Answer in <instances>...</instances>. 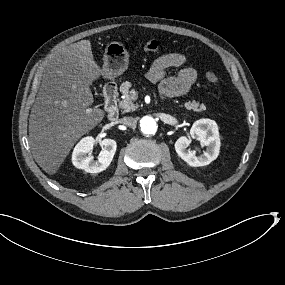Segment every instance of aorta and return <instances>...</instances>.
I'll return each mask as SVG.
<instances>
[{
	"label": "aorta",
	"mask_w": 285,
	"mask_h": 285,
	"mask_svg": "<svg viewBox=\"0 0 285 285\" xmlns=\"http://www.w3.org/2000/svg\"><path fill=\"white\" fill-rule=\"evenodd\" d=\"M136 127L143 134H155L159 127V118L152 111H143L136 118Z\"/></svg>",
	"instance_id": "obj_1"
}]
</instances>
